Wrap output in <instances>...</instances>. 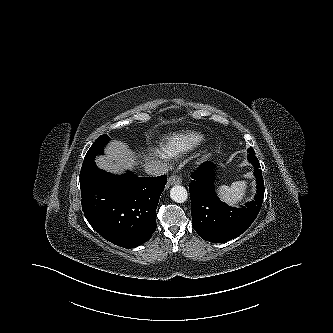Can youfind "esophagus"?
I'll use <instances>...</instances> for the list:
<instances>
[{"label": "esophagus", "mask_w": 333, "mask_h": 333, "mask_svg": "<svg viewBox=\"0 0 333 333\" xmlns=\"http://www.w3.org/2000/svg\"><path fill=\"white\" fill-rule=\"evenodd\" d=\"M181 183H182V179L179 175H172L167 180V187H170L172 185L181 184Z\"/></svg>", "instance_id": "esophagus-1"}]
</instances>
